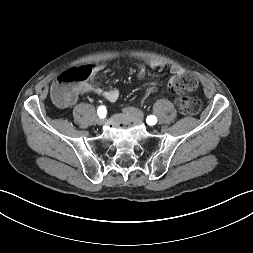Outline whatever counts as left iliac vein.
I'll use <instances>...</instances> for the list:
<instances>
[{
    "instance_id": "1",
    "label": "left iliac vein",
    "mask_w": 253,
    "mask_h": 253,
    "mask_svg": "<svg viewBox=\"0 0 253 253\" xmlns=\"http://www.w3.org/2000/svg\"><path fill=\"white\" fill-rule=\"evenodd\" d=\"M123 111L139 120H143V113L134 107H126L123 109Z\"/></svg>"
}]
</instances>
